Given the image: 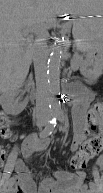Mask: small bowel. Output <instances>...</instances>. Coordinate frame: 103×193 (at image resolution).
Here are the masks:
<instances>
[{"instance_id":"small-bowel-1","label":"small bowel","mask_w":103,"mask_h":193,"mask_svg":"<svg viewBox=\"0 0 103 193\" xmlns=\"http://www.w3.org/2000/svg\"><path fill=\"white\" fill-rule=\"evenodd\" d=\"M92 98V93L84 92L78 99L79 113L74 126L75 136L71 146L73 149L85 143L84 140L89 125L88 117L92 112V108H90ZM3 122L7 126L11 121L5 117ZM10 137H12V133ZM47 146V139L31 135L22 144V155L24 158L30 159L33 155L42 153ZM0 154L1 157H4L5 151L1 150ZM99 163H102V161H99ZM15 168L17 175L12 177L8 182L10 185L9 190H11V186H15V190L18 189L17 193H65L69 191V193H87V185L83 183L86 177L84 172L77 174L64 171L51 172L50 176L37 188L34 175L22 162H17ZM5 169L8 171L10 166H7Z\"/></svg>"}]
</instances>
